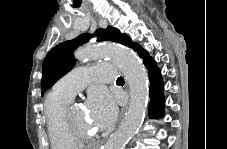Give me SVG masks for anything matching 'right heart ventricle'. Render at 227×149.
Listing matches in <instances>:
<instances>
[{
	"mask_svg": "<svg viewBox=\"0 0 227 149\" xmlns=\"http://www.w3.org/2000/svg\"><path fill=\"white\" fill-rule=\"evenodd\" d=\"M73 98L53 89L44 102V114L52 149H72L78 142L67 132L64 112Z\"/></svg>",
	"mask_w": 227,
	"mask_h": 149,
	"instance_id": "obj_1",
	"label": "right heart ventricle"
}]
</instances>
